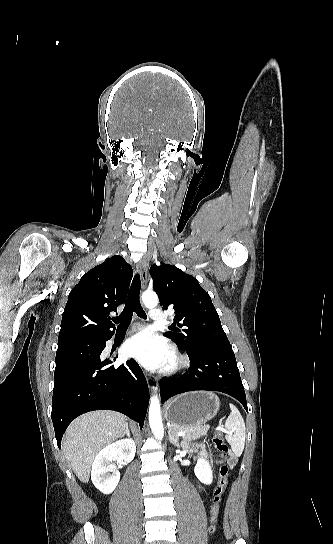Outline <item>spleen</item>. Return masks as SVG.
<instances>
[{
	"mask_svg": "<svg viewBox=\"0 0 333 544\" xmlns=\"http://www.w3.org/2000/svg\"><path fill=\"white\" fill-rule=\"evenodd\" d=\"M231 413L225 421V428L230 432L225 436L236 456H240L244 450L246 428L245 422L239 410L230 404Z\"/></svg>",
	"mask_w": 333,
	"mask_h": 544,
	"instance_id": "spleen-1",
	"label": "spleen"
}]
</instances>
